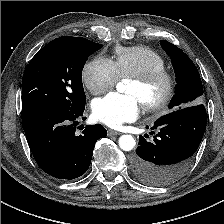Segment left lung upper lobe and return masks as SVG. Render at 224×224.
Returning a JSON list of instances; mask_svg holds the SVG:
<instances>
[{"label":"left lung upper lobe","mask_w":224,"mask_h":224,"mask_svg":"<svg viewBox=\"0 0 224 224\" xmlns=\"http://www.w3.org/2000/svg\"><path fill=\"white\" fill-rule=\"evenodd\" d=\"M160 44L171 59L177 82L175 96L169 108L178 110L202 103L203 87L194 63L180 48L172 43L161 40Z\"/></svg>","instance_id":"1"}]
</instances>
